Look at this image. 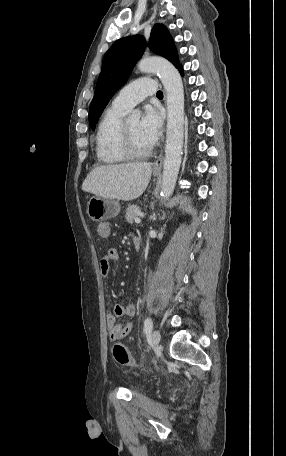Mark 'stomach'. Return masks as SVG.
I'll return each mask as SVG.
<instances>
[{"mask_svg": "<svg viewBox=\"0 0 286 456\" xmlns=\"http://www.w3.org/2000/svg\"><path fill=\"white\" fill-rule=\"evenodd\" d=\"M120 209L119 201L110 198L94 196L87 203L89 218L97 222L116 217Z\"/></svg>", "mask_w": 286, "mask_h": 456, "instance_id": "stomach-1", "label": "stomach"}]
</instances>
